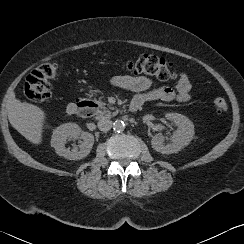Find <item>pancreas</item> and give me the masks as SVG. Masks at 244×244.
Returning a JSON list of instances; mask_svg holds the SVG:
<instances>
[{
    "label": "pancreas",
    "instance_id": "obj_1",
    "mask_svg": "<svg viewBox=\"0 0 244 244\" xmlns=\"http://www.w3.org/2000/svg\"><path fill=\"white\" fill-rule=\"evenodd\" d=\"M109 114H110V112L103 107V110L99 111L98 116L99 117H101V116H107Z\"/></svg>",
    "mask_w": 244,
    "mask_h": 244
}]
</instances>
